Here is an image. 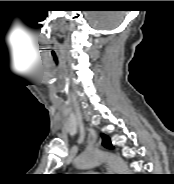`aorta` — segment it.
Returning <instances> with one entry per match:
<instances>
[{
	"label": "aorta",
	"instance_id": "762f6f07",
	"mask_svg": "<svg viewBox=\"0 0 174 184\" xmlns=\"http://www.w3.org/2000/svg\"><path fill=\"white\" fill-rule=\"evenodd\" d=\"M106 161L116 174H127L129 171L127 163L119 156L100 150L87 151L75 160L77 168L86 169L99 165Z\"/></svg>",
	"mask_w": 174,
	"mask_h": 184
}]
</instances>
